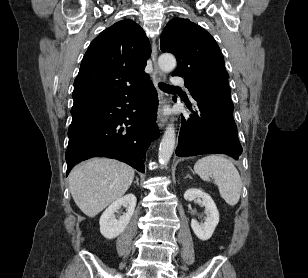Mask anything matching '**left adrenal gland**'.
Returning <instances> with one entry per match:
<instances>
[{
    "label": "left adrenal gland",
    "instance_id": "a2214340",
    "mask_svg": "<svg viewBox=\"0 0 308 278\" xmlns=\"http://www.w3.org/2000/svg\"><path fill=\"white\" fill-rule=\"evenodd\" d=\"M186 178L192 179V177H191L189 174L186 175L185 179H186Z\"/></svg>",
    "mask_w": 308,
    "mask_h": 278
}]
</instances>
